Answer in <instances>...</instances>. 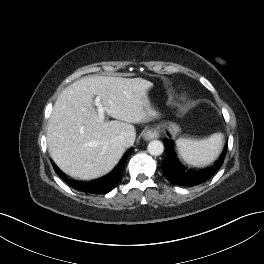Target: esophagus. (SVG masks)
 Wrapping results in <instances>:
<instances>
[{
    "mask_svg": "<svg viewBox=\"0 0 264 264\" xmlns=\"http://www.w3.org/2000/svg\"><path fill=\"white\" fill-rule=\"evenodd\" d=\"M159 137V132L155 128L147 129L143 132V138L145 140H152Z\"/></svg>",
    "mask_w": 264,
    "mask_h": 264,
    "instance_id": "1",
    "label": "esophagus"
}]
</instances>
